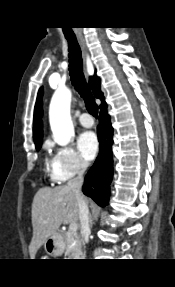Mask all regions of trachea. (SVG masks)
I'll return each mask as SVG.
<instances>
[{"mask_svg": "<svg viewBox=\"0 0 175 287\" xmlns=\"http://www.w3.org/2000/svg\"><path fill=\"white\" fill-rule=\"evenodd\" d=\"M68 41L69 50V72L73 86L80 96L85 101V106L88 112L94 116L98 117V105L86 83L83 74V61L81 56V49L77 42L76 37L66 36Z\"/></svg>", "mask_w": 175, "mask_h": 287, "instance_id": "obj_1", "label": "trachea"}]
</instances>
